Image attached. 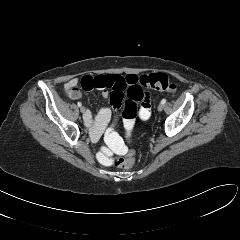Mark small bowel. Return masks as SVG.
<instances>
[{
	"instance_id": "c3829d8e",
	"label": "small bowel",
	"mask_w": 240,
	"mask_h": 240,
	"mask_svg": "<svg viewBox=\"0 0 240 240\" xmlns=\"http://www.w3.org/2000/svg\"><path fill=\"white\" fill-rule=\"evenodd\" d=\"M139 77L135 74H128L126 76L109 74V75H97V76H84L80 80V84L85 90H92L94 88L102 91L103 97H109L114 110L108 108H103L99 111L97 116L93 118L90 112L86 113L84 120L86 124L90 127L92 137L97 140L104 133L106 126L109 121L112 122V127L117 126L120 121V114L118 109L121 107L125 94L129 87L138 86L141 91L139 118L141 120L149 119L151 115L150 111V94L143 90L139 83ZM79 80L73 78L69 80L66 84V90L68 91L71 98L76 99L80 95L77 92H73L72 88L78 85ZM108 89H111L109 92ZM127 129H130L133 122L124 120ZM117 151L122 152L123 147L118 146Z\"/></svg>"
}]
</instances>
